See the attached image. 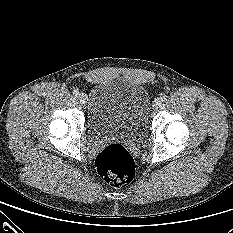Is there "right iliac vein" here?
Here are the masks:
<instances>
[{
    "label": "right iliac vein",
    "mask_w": 233,
    "mask_h": 233,
    "mask_svg": "<svg viewBox=\"0 0 233 233\" xmlns=\"http://www.w3.org/2000/svg\"><path fill=\"white\" fill-rule=\"evenodd\" d=\"M78 100L80 101L81 104H85L87 101V96L84 93L79 94Z\"/></svg>",
    "instance_id": "obj_1"
}]
</instances>
